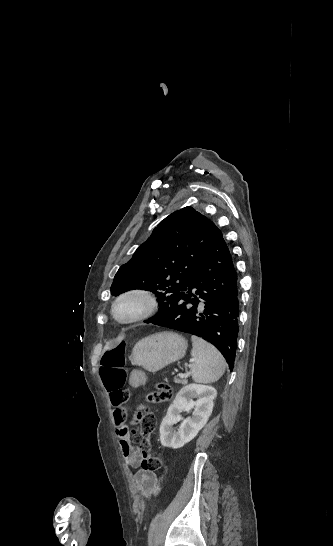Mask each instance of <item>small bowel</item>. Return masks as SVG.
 <instances>
[{
	"label": "small bowel",
	"instance_id": "obj_1",
	"mask_svg": "<svg viewBox=\"0 0 333 546\" xmlns=\"http://www.w3.org/2000/svg\"><path fill=\"white\" fill-rule=\"evenodd\" d=\"M145 371L144 368L139 371L136 367H133L129 372L130 378L137 381L135 383L137 386L140 384L138 381H141L142 387L148 386V381L146 380L148 377L146 375L143 376ZM124 394L123 390L109 392L110 401L115 408L113 416L117 426L116 432L125 462L131 468H139L142 464L143 456L141 451L132 444L130 430L125 425L127 411L122 407ZM134 481L142 498H144L155 488L157 475L155 472L138 469L134 475Z\"/></svg>",
	"mask_w": 333,
	"mask_h": 546
}]
</instances>
